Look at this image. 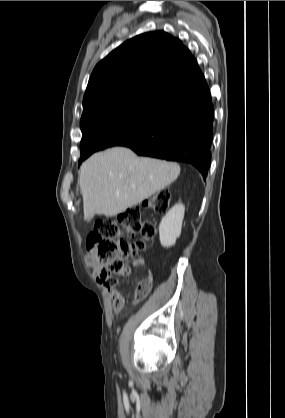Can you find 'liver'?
<instances>
[{
    "label": "liver",
    "mask_w": 285,
    "mask_h": 418,
    "mask_svg": "<svg viewBox=\"0 0 285 418\" xmlns=\"http://www.w3.org/2000/svg\"><path fill=\"white\" fill-rule=\"evenodd\" d=\"M179 174L177 163L138 157L125 147L95 153L79 172L84 219L122 213L170 185Z\"/></svg>",
    "instance_id": "liver-1"
}]
</instances>
